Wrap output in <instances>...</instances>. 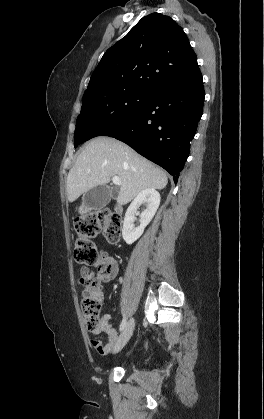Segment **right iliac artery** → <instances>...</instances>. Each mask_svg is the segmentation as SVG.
<instances>
[{
  "instance_id": "right-iliac-artery-1",
  "label": "right iliac artery",
  "mask_w": 264,
  "mask_h": 419,
  "mask_svg": "<svg viewBox=\"0 0 264 419\" xmlns=\"http://www.w3.org/2000/svg\"><path fill=\"white\" fill-rule=\"evenodd\" d=\"M125 325H126V318L124 317L121 324H120L119 330L122 331L124 329Z\"/></svg>"
}]
</instances>
